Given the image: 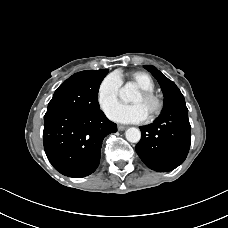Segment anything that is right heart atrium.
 Returning <instances> with one entry per match:
<instances>
[{"instance_id": "1", "label": "right heart atrium", "mask_w": 228, "mask_h": 228, "mask_svg": "<svg viewBox=\"0 0 228 228\" xmlns=\"http://www.w3.org/2000/svg\"><path fill=\"white\" fill-rule=\"evenodd\" d=\"M122 79L117 73L106 75L97 89V101L102 110H106L118 98Z\"/></svg>"}]
</instances>
